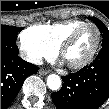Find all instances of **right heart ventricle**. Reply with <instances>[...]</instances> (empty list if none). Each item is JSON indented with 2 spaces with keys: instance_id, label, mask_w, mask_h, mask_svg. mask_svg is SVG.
Listing matches in <instances>:
<instances>
[{
  "instance_id": "obj_1",
  "label": "right heart ventricle",
  "mask_w": 109,
  "mask_h": 109,
  "mask_svg": "<svg viewBox=\"0 0 109 109\" xmlns=\"http://www.w3.org/2000/svg\"><path fill=\"white\" fill-rule=\"evenodd\" d=\"M85 23L83 20L73 19L64 22L37 25L29 29L44 34L55 47H59L75 28Z\"/></svg>"
}]
</instances>
